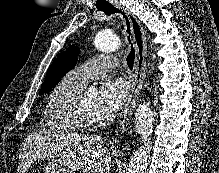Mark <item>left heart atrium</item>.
<instances>
[{
	"label": "left heart atrium",
	"instance_id": "1",
	"mask_svg": "<svg viewBox=\"0 0 219 173\" xmlns=\"http://www.w3.org/2000/svg\"><path fill=\"white\" fill-rule=\"evenodd\" d=\"M128 93V85L122 79L104 82L96 100L98 118L106 119L115 115L125 105Z\"/></svg>",
	"mask_w": 219,
	"mask_h": 173
}]
</instances>
